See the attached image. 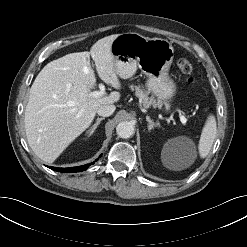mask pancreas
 <instances>
[{
  "mask_svg": "<svg viewBox=\"0 0 247 247\" xmlns=\"http://www.w3.org/2000/svg\"><path fill=\"white\" fill-rule=\"evenodd\" d=\"M130 88L131 90L135 91V96L142 101L144 107L148 108L151 105L154 107L159 105L158 102H156V100L153 97H149L148 94L140 88V86L132 85Z\"/></svg>",
  "mask_w": 247,
  "mask_h": 247,
  "instance_id": "obj_1",
  "label": "pancreas"
}]
</instances>
